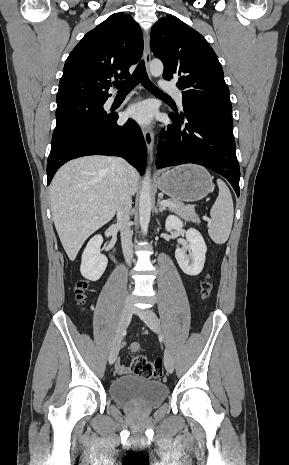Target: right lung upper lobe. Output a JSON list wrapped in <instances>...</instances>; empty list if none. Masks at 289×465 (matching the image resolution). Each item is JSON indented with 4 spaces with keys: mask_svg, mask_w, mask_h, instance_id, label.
Wrapping results in <instances>:
<instances>
[{
    "mask_svg": "<svg viewBox=\"0 0 289 465\" xmlns=\"http://www.w3.org/2000/svg\"><path fill=\"white\" fill-rule=\"evenodd\" d=\"M143 51L140 26L116 13L89 31L65 62L56 96L58 104L77 100H107L110 79L127 78Z\"/></svg>",
    "mask_w": 289,
    "mask_h": 465,
    "instance_id": "obj_1",
    "label": "right lung upper lobe"
}]
</instances>
